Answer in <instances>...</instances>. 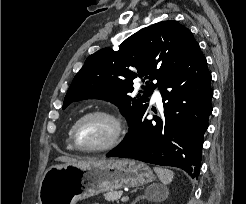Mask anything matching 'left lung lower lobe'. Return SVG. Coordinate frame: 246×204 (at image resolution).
Here are the masks:
<instances>
[{"label":"left lung lower lobe","instance_id":"0a47b994","mask_svg":"<svg viewBox=\"0 0 246 204\" xmlns=\"http://www.w3.org/2000/svg\"><path fill=\"white\" fill-rule=\"evenodd\" d=\"M211 74L196 44L185 60L160 85L164 111L148 120L147 109L131 124L122 143L107 157L133 158L200 172L203 135L212 112Z\"/></svg>","mask_w":246,"mask_h":204}]
</instances>
